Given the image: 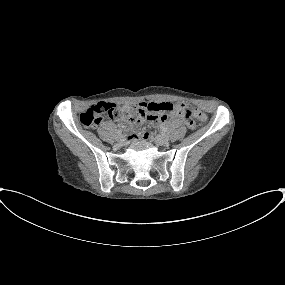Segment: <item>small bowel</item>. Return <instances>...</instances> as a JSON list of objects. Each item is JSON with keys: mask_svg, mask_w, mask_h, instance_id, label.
Here are the masks:
<instances>
[{"mask_svg": "<svg viewBox=\"0 0 285 285\" xmlns=\"http://www.w3.org/2000/svg\"><path fill=\"white\" fill-rule=\"evenodd\" d=\"M152 111L148 115L141 116V119L136 121L133 126L142 131V126L144 121H148L150 124L155 125H163L167 122L168 116L170 114L169 108L172 105L171 102L168 101H149L146 103H142ZM174 122L176 124H185L188 128H194V122L192 120H186L184 118L177 117L174 119ZM121 127L123 128H129V125H126L124 123L121 124Z\"/></svg>", "mask_w": 285, "mask_h": 285, "instance_id": "c3829d8e", "label": "small bowel"}]
</instances>
